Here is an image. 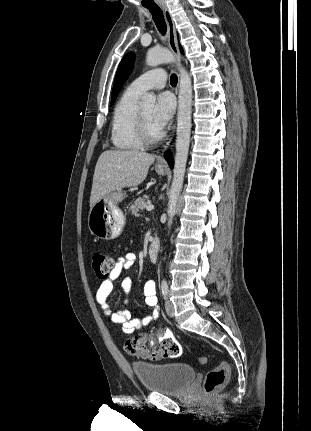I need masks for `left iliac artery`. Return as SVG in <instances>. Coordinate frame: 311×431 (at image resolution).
<instances>
[{
  "mask_svg": "<svg viewBox=\"0 0 311 431\" xmlns=\"http://www.w3.org/2000/svg\"><path fill=\"white\" fill-rule=\"evenodd\" d=\"M161 291H162V294H163L164 298H166L167 295H168V292H169L168 284L166 282H162V284H161Z\"/></svg>",
  "mask_w": 311,
  "mask_h": 431,
  "instance_id": "44dca946",
  "label": "left iliac artery"
}]
</instances>
